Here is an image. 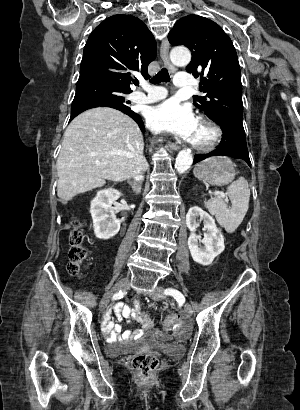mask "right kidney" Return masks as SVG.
I'll return each instance as SVG.
<instances>
[{
    "label": "right kidney",
    "instance_id": "right-kidney-1",
    "mask_svg": "<svg viewBox=\"0 0 300 410\" xmlns=\"http://www.w3.org/2000/svg\"><path fill=\"white\" fill-rule=\"evenodd\" d=\"M121 195L118 190L108 188L98 191L91 201L90 213L97 238L108 240L119 232L120 221L116 218L112 204Z\"/></svg>",
    "mask_w": 300,
    "mask_h": 410
}]
</instances>
